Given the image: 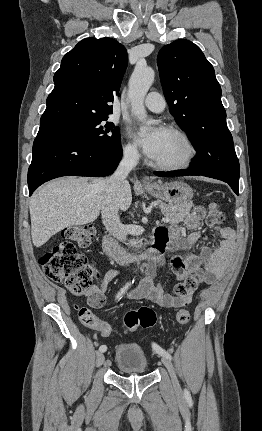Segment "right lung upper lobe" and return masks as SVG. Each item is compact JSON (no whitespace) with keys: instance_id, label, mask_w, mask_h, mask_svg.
Listing matches in <instances>:
<instances>
[{"instance_id":"cb5924a9","label":"right lung upper lobe","mask_w":262,"mask_h":431,"mask_svg":"<svg viewBox=\"0 0 262 431\" xmlns=\"http://www.w3.org/2000/svg\"><path fill=\"white\" fill-rule=\"evenodd\" d=\"M126 48L112 38H86L61 61L40 126L112 113L127 67Z\"/></svg>"}]
</instances>
